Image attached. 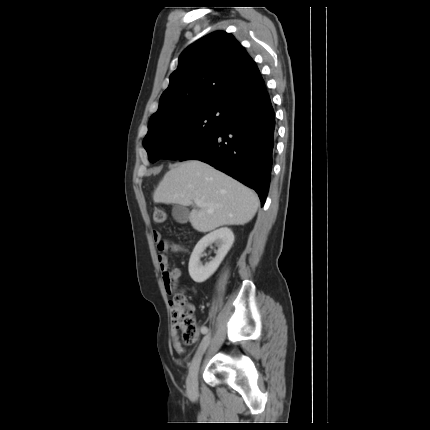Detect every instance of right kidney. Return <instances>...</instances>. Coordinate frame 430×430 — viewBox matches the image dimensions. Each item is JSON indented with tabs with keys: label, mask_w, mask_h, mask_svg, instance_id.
Here are the masks:
<instances>
[{
	"label": "right kidney",
	"mask_w": 430,
	"mask_h": 430,
	"mask_svg": "<svg viewBox=\"0 0 430 430\" xmlns=\"http://www.w3.org/2000/svg\"><path fill=\"white\" fill-rule=\"evenodd\" d=\"M233 242L234 234L227 227L217 229L202 237L196 244L189 260L188 271L192 280L196 283H202L209 279L227 255ZM212 243H216L218 246L216 256L209 263L202 265L200 262L202 253Z\"/></svg>",
	"instance_id": "right-kidney-1"
}]
</instances>
